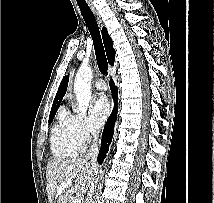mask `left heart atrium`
<instances>
[{"instance_id":"1","label":"left heart atrium","mask_w":214,"mask_h":203,"mask_svg":"<svg viewBox=\"0 0 214 203\" xmlns=\"http://www.w3.org/2000/svg\"><path fill=\"white\" fill-rule=\"evenodd\" d=\"M110 111L109 102L104 95L98 96L90 106V118L94 125L101 126L107 119Z\"/></svg>"}]
</instances>
